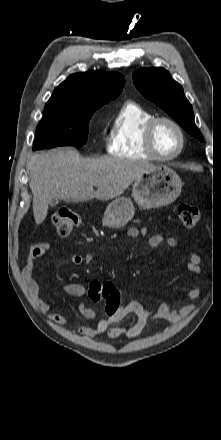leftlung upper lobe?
Here are the masks:
<instances>
[{"mask_svg":"<svg viewBox=\"0 0 221 440\" xmlns=\"http://www.w3.org/2000/svg\"><path fill=\"white\" fill-rule=\"evenodd\" d=\"M133 81L139 92L166 111L190 135L203 141L194 122L191 104L183 88L164 68H142L134 72Z\"/></svg>","mask_w":221,"mask_h":440,"instance_id":"1","label":"left lung upper lobe"}]
</instances>
